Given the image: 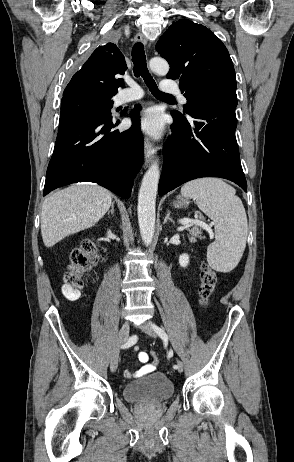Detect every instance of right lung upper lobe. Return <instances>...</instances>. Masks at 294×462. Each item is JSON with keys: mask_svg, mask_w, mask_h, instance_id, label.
I'll return each mask as SVG.
<instances>
[{"mask_svg": "<svg viewBox=\"0 0 294 462\" xmlns=\"http://www.w3.org/2000/svg\"><path fill=\"white\" fill-rule=\"evenodd\" d=\"M125 58L113 43L99 46L75 73L63 93V98L74 93H94L114 96L124 85L118 75L126 71Z\"/></svg>", "mask_w": 294, "mask_h": 462, "instance_id": "1", "label": "right lung upper lobe"}]
</instances>
